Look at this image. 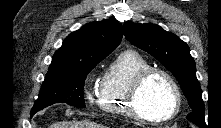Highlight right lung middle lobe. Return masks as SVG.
<instances>
[{
	"label": "right lung middle lobe",
	"instance_id": "1",
	"mask_svg": "<svg viewBox=\"0 0 221 128\" xmlns=\"http://www.w3.org/2000/svg\"><path fill=\"white\" fill-rule=\"evenodd\" d=\"M101 60L103 59L48 71L31 110V116L54 103H67L84 108L83 88L86 76Z\"/></svg>",
	"mask_w": 221,
	"mask_h": 128
}]
</instances>
